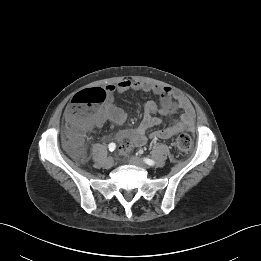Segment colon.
<instances>
[{
    "label": "colon",
    "mask_w": 261,
    "mask_h": 261,
    "mask_svg": "<svg viewBox=\"0 0 261 261\" xmlns=\"http://www.w3.org/2000/svg\"><path fill=\"white\" fill-rule=\"evenodd\" d=\"M106 93L101 88H92L79 92L66 109L67 117V135L68 146L75 149L80 144L81 136L87 130L90 118L93 112L104 103ZM176 149L180 153H186L192 146V140L189 135L181 134L175 140ZM131 149V143L126 141L121 146V152L126 154ZM76 155L81 156V153L76 150Z\"/></svg>",
    "instance_id": "obj_1"
}]
</instances>
